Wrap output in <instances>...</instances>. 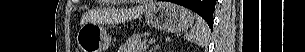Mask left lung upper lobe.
<instances>
[{
    "label": "left lung upper lobe",
    "mask_w": 305,
    "mask_h": 52,
    "mask_svg": "<svg viewBox=\"0 0 305 52\" xmlns=\"http://www.w3.org/2000/svg\"><path fill=\"white\" fill-rule=\"evenodd\" d=\"M203 18L205 19V21L208 23V24H213V14L211 15H203Z\"/></svg>",
    "instance_id": "obj_1"
}]
</instances>
